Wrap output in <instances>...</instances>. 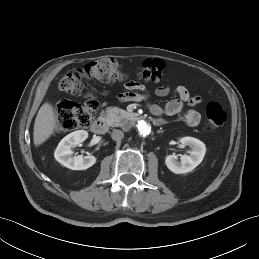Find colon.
<instances>
[{"label": "colon", "instance_id": "1", "mask_svg": "<svg viewBox=\"0 0 259 259\" xmlns=\"http://www.w3.org/2000/svg\"><path fill=\"white\" fill-rule=\"evenodd\" d=\"M139 78L147 82L162 81L165 78L163 66L157 62L147 63L141 68ZM85 79L114 83L126 80V75L121 64L113 58H101L67 72L59 81L60 90L71 95L83 96L85 100L83 103L63 101L58 105L59 125L64 131L89 125L97 113L99 101L88 91ZM205 111L211 128L216 129L224 125L227 115L220 103L209 102Z\"/></svg>", "mask_w": 259, "mask_h": 259}]
</instances>
